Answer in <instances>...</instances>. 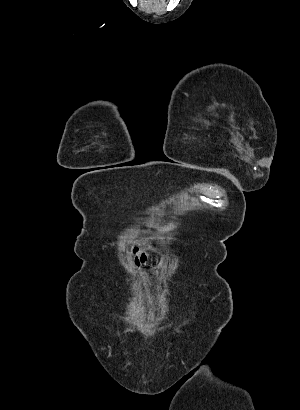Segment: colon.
Masks as SVG:
<instances>
[{
    "instance_id": "5ec220e1",
    "label": "colon",
    "mask_w": 300,
    "mask_h": 410,
    "mask_svg": "<svg viewBox=\"0 0 300 410\" xmlns=\"http://www.w3.org/2000/svg\"><path fill=\"white\" fill-rule=\"evenodd\" d=\"M133 254L138 264H145L147 262V256L145 253L140 252V251H135Z\"/></svg>"
}]
</instances>
